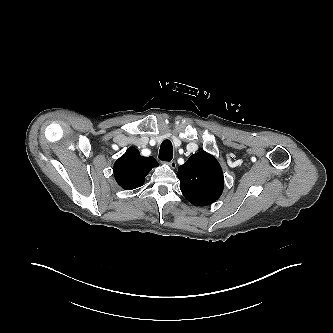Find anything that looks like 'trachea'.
I'll return each mask as SVG.
<instances>
[{
  "label": "trachea",
  "mask_w": 333,
  "mask_h": 333,
  "mask_svg": "<svg viewBox=\"0 0 333 333\" xmlns=\"http://www.w3.org/2000/svg\"><path fill=\"white\" fill-rule=\"evenodd\" d=\"M173 158V147L170 140H164L159 150V159L162 161H171Z\"/></svg>",
  "instance_id": "obj_1"
}]
</instances>
